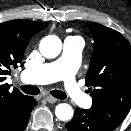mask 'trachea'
I'll return each instance as SVG.
<instances>
[{
    "mask_svg": "<svg viewBox=\"0 0 131 131\" xmlns=\"http://www.w3.org/2000/svg\"><path fill=\"white\" fill-rule=\"evenodd\" d=\"M21 90L26 93V94H31V95H37L40 93V90L38 87L36 86H33V85H24V86H21ZM51 95L55 98H58V99H66L67 96L64 92L60 91V90H53L50 92Z\"/></svg>",
    "mask_w": 131,
    "mask_h": 131,
    "instance_id": "1",
    "label": "trachea"
}]
</instances>
